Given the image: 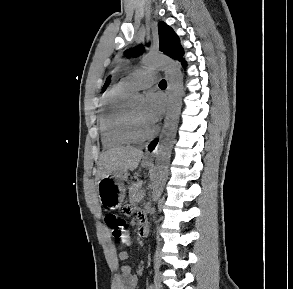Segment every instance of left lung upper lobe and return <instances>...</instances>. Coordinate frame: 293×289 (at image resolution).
<instances>
[{"instance_id": "5c2ea615", "label": "left lung upper lobe", "mask_w": 293, "mask_h": 289, "mask_svg": "<svg viewBox=\"0 0 293 289\" xmlns=\"http://www.w3.org/2000/svg\"><path fill=\"white\" fill-rule=\"evenodd\" d=\"M159 31V41L160 50L166 53L168 56L182 61V56L184 54L183 48L180 45V40L175 34L173 29L169 27L166 23L160 22L158 24ZM143 52L142 47L134 48L133 50H127L125 55L137 56ZM183 63V62H182Z\"/></svg>"}]
</instances>
